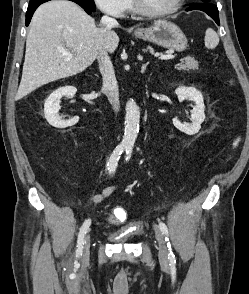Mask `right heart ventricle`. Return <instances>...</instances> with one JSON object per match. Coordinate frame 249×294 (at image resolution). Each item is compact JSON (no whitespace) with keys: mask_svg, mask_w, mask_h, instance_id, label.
<instances>
[{"mask_svg":"<svg viewBox=\"0 0 249 294\" xmlns=\"http://www.w3.org/2000/svg\"><path fill=\"white\" fill-rule=\"evenodd\" d=\"M133 9H134L133 2H132V0H130L128 10L132 11Z\"/></svg>","mask_w":249,"mask_h":294,"instance_id":"1","label":"right heart ventricle"}]
</instances>
